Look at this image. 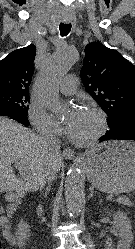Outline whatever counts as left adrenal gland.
<instances>
[{
    "mask_svg": "<svg viewBox=\"0 0 135 249\" xmlns=\"http://www.w3.org/2000/svg\"><path fill=\"white\" fill-rule=\"evenodd\" d=\"M93 196H96V195H94L93 190L90 189V194H89V196H88V200H90Z\"/></svg>",
    "mask_w": 135,
    "mask_h": 249,
    "instance_id": "a2214340",
    "label": "left adrenal gland"
}]
</instances>
